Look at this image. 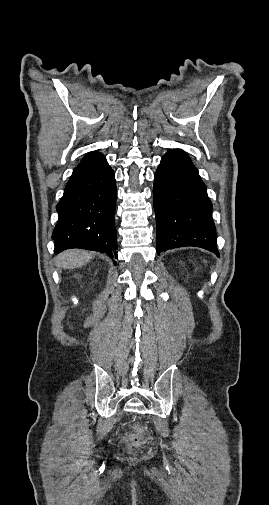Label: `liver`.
I'll return each instance as SVG.
<instances>
[{
  "label": "liver",
  "mask_w": 269,
  "mask_h": 505,
  "mask_svg": "<svg viewBox=\"0 0 269 505\" xmlns=\"http://www.w3.org/2000/svg\"><path fill=\"white\" fill-rule=\"evenodd\" d=\"M93 255L83 250H67L55 258L56 265L64 269H74L86 265Z\"/></svg>",
  "instance_id": "6515ba94"
}]
</instances>
